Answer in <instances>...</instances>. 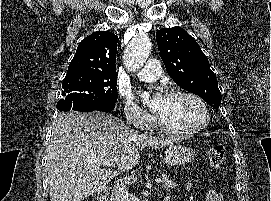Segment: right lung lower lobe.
Here are the masks:
<instances>
[{
	"instance_id": "98d812e1",
	"label": "right lung lower lobe",
	"mask_w": 271,
	"mask_h": 201,
	"mask_svg": "<svg viewBox=\"0 0 271 201\" xmlns=\"http://www.w3.org/2000/svg\"><path fill=\"white\" fill-rule=\"evenodd\" d=\"M116 102H105V101H86L81 98L65 97L58 101L56 107L62 111H103L111 112L115 107Z\"/></svg>"
}]
</instances>
